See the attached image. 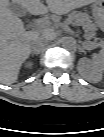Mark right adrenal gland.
<instances>
[{
    "label": "right adrenal gland",
    "instance_id": "obj_1",
    "mask_svg": "<svg viewBox=\"0 0 104 137\" xmlns=\"http://www.w3.org/2000/svg\"><path fill=\"white\" fill-rule=\"evenodd\" d=\"M34 55H39V52H36L34 50L31 51V56H34Z\"/></svg>",
    "mask_w": 104,
    "mask_h": 137
}]
</instances>
